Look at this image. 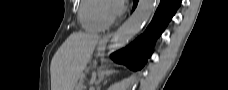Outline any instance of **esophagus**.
I'll return each mask as SVG.
<instances>
[{"label":"esophagus","mask_w":228,"mask_h":90,"mask_svg":"<svg viewBox=\"0 0 228 90\" xmlns=\"http://www.w3.org/2000/svg\"><path fill=\"white\" fill-rule=\"evenodd\" d=\"M111 36H112L111 33L105 35V36L102 38L101 42H107V41L111 38Z\"/></svg>","instance_id":"esophagus-1"}]
</instances>
